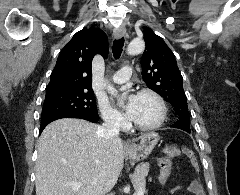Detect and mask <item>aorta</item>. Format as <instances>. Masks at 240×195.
I'll use <instances>...</instances> for the list:
<instances>
[{"instance_id": "1", "label": "aorta", "mask_w": 240, "mask_h": 195, "mask_svg": "<svg viewBox=\"0 0 240 195\" xmlns=\"http://www.w3.org/2000/svg\"><path fill=\"white\" fill-rule=\"evenodd\" d=\"M145 48V42L143 40H139V38H135V40H132L130 42L128 48H127V54H130V56H135V54H141ZM108 94H111V96H117V90L111 86V84H107L106 88Z\"/></svg>"}]
</instances>
